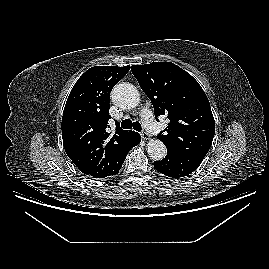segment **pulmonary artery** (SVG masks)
I'll return each mask as SVG.
<instances>
[{
	"label": "pulmonary artery",
	"instance_id": "e3ab8cb5",
	"mask_svg": "<svg viewBox=\"0 0 269 269\" xmlns=\"http://www.w3.org/2000/svg\"><path fill=\"white\" fill-rule=\"evenodd\" d=\"M140 118H141L143 127L151 135H157L161 132L162 130L161 124L157 123L153 119L152 113L149 109L147 108L142 109V111L140 112Z\"/></svg>",
	"mask_w": 269,
	"mask_h": 269
}]
</instances>
